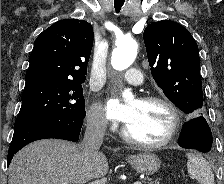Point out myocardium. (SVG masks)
Wrapping results in <instances>:
<instances>
[{
  "instance_id": "obj_1",
  "label": "myocardium",
  "mask_w": 224,
  "mask_h": 184,
  "mask_svg": "<svg viewBox=\"0 0 224 184\" xmlns=\"http://www.w3.org/2000/svg\"><path fill=\"white\" fill-rule=\"evenodd\" d=\"M139 101L151 104L152 103L161 104L169 111L171 115V124L168 133L160 141L146 142L132 137L128 132L127 126L125 125L122 129V136L124 137V139L134 145L151 149L161 148L171 143L178 135L182 125L181 114L177 106L172 101L162 96H154V95L144 96L140 98Z\"/></svg>"
}]
</instances>
